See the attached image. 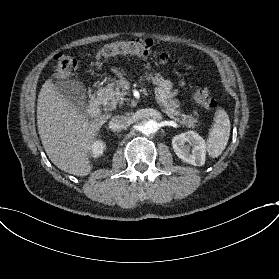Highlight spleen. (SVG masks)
Here are the masks:
<instances>
[{
  "instance_id": "obj_1",
  "label": "spleen",
  "mask_w": 279,
  "mask_h": 279,
  "mask_svg": "<svg viewBox=\"0 0 279 279\" xmlns=\"http://www.w3.org/2000/svg\"><path fill=\"white\" fill-rule=\"evenodd\" d=\"M231 124L224 110H218L214 115V125L206 142V151L210 158H218L225 150L230 136Z\"/></svg>"
}]
</instances>
